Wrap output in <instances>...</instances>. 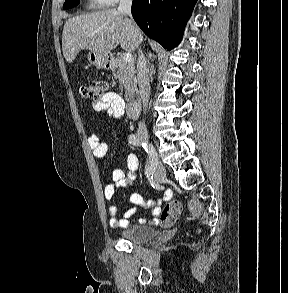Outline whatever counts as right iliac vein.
<instances>
[{
    "label": "right iliac vein",
    "instance_id": "right-iliac-vein-1",
    "mask_svg": "<svg viewBox=\"0 0 288 293\" xmlns=\"http://www.w3.org/2000/svg\"><path fill=\"white\" fill-rule=\"evenodd\" d=\"M145 142L147 143L148 147H153V145L148 143V141L145 140ZM156 156H158L157 152H156ZM153 174H154L155 180L157 182H162V181L165 180V178H166V170H165V167L163 166L162 163L159 164L158 170L153 171Z\"/></svg>",
    "mask_w": 288,
    "mask_h": 293
}]
</instances>
